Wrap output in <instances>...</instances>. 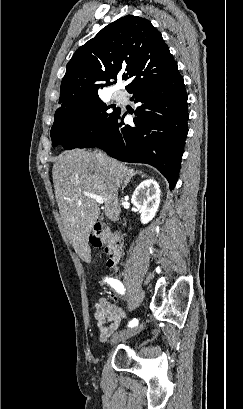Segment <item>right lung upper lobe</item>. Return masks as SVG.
<instances>
[{"instance_id": "1", "label": "right lung upper lobe", "mask_w": 243, "mask_h": 409, "mask_svg": "<svg viewBox=\"0 0 243 409\" xmlns=\"http://www.w3.org/2000/svg\"><path fill=\"white\" fill-rule=\"evenodd\" d=\"M177 67L161 33L147 19L127 15L81 46L67 64L59 103L66 107L99 97L111 79L133 86L166 75Z\"/></svg>"}]
</instances>
